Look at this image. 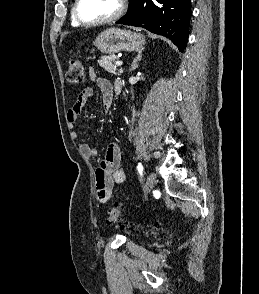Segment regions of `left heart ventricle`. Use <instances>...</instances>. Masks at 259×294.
<instances>
[{"label":"left heart ventricle","instance_id":"b2bd125f","mask_svg":"<svg viewBox=\"0 0 259 294\" xmlns=\"http://www.w3.org/2000/svg\"><path fill=\"white\" fill-rule=\"evenodd\" d=\"M119 6V0H81L79 13L83 20L98 21L114 14Z\"/></svg>","mask_w":259,"mask_h":294}]
</instances>
